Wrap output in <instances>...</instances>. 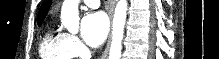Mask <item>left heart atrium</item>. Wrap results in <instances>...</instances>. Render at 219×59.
Here are the masks:
<instances>
[{"label": "left heart atrium", "mask_w": 219, "mask_h": 59, "mask_svg": "<svg viewBox=\"0 0 219 59\" xmlns=\"http://www.w3.org/2000/svg\"><path fill=\"white\" fill-rule=\"evenodd\" d=\"M108 28V19L103 12H90L82 20L81 36L88 45L97 47L105 40Z\"/></svg>", "instance_id": "1"}]
</instances>
